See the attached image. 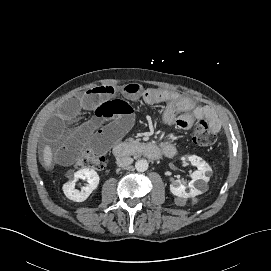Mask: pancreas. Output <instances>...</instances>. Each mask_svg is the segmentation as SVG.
<instances>
[{"label":"pancreas","mask_w":271,"mask_h":271,"mask_svg":"<svg viewBox=\"0 0 271 271\" xmlns=\"http://www.w3.org/2000/svg\"><path fill=\"white\" fill-rule=\"evenodd\" d=\"M130 142L134 143V140H133V139H130Z\"/></svg>","instance_id":"cf45deb5"}]
</instances>
